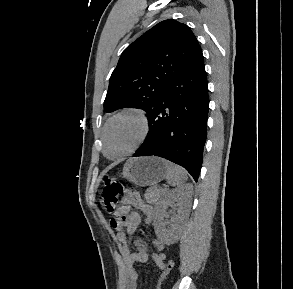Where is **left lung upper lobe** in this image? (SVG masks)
Returning <instances> with one entry per match:
<instances>
[{"instance_id":"left-lung-upper-lobe-1","label":"left lung upper lobe","mask_w":293,"mask_h":289,"mask_svg":"<svg viewBox=\"0 0 293 289\" xmlns=\"http://www.w3.org/2000/svg\"><path fill=\"white\" fill-rule=\"evenodd\" d=\"M201 53L187 25L171 19L158 23L121 54L110 77L105 111L123 107L149 111L170 83Z\"/></svg>"}]
</instances>
